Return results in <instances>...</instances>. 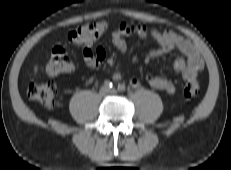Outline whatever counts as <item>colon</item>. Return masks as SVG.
Listing matches in <instances>:
<instances>
[{
    "label": "colon",
    "instance_id": "obj_1",
    "mask_svg": "<svg viewBox=\"0 0 231 170\" xmlns=\"http://www.w3.org/2000/svg\"><path fill=\"white\" fill-rule=\"evenodd\" d=\"M105 29L106 24L104 22L87 23L71 31L68 42L71 45H89L100 38ZM73 68L74 64L69 58L65 46H55L47 64V72L54 76L69 73ZM199 93L200 87L196 80H188L182 87V94L185 97H195ZM27 94L31 100L47 108H55L59 105V88L53 81L29 84Z\"/></svg>",
    "mask_w": 231,
    "mask_h": 170
}]
</instances>
